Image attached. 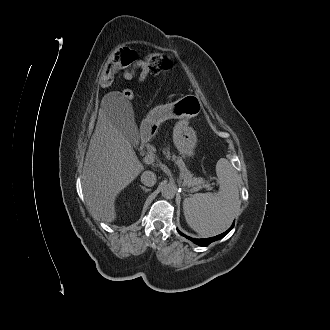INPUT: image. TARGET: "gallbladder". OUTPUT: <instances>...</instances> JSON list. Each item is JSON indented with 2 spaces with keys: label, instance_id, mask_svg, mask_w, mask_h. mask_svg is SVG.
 Wrapping results in <instances>:
<instances>
[{
  "label": "gallbladder",
  "instance_id": "bac80fb5",
  "mask_svg": "<svg viewBox=\"0 0 330 330\" xmlns=\"http://www.w3.org/2000/svg\"><path fill=\"white\" fill-rule=\"evenodd\" d=\"M116 123L122 129L124 135L133 141L137 133V127L134 121L132 105L129 102H122L114 107Z\"/></svg>",
  "mask_w": 330,
  "mask_h": 330
}]
</instances>
